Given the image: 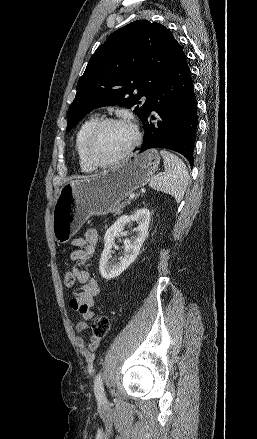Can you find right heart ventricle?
Returning a JSON list of instances; mask_svg holds the SVG:
<instances>
[{"label": "right heart ventricle", "instance_id": "1", "mask_svg": "<svg viewBox=\"0 0 257 439\" xmlns=\"http://www.w3.org/2000/svg\"><path fill=\"white\" fill-rule=\"evenodd\" d=\"M98 121L99 118L96 116L89 117L80 125L76 133L75 149L78 155L80 168L86 173L92 172L94 167L89 163L84 152L85 139Z\"/></svg>", "mask_w": 257, "mask_h": 439}]
</instances>
